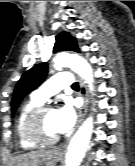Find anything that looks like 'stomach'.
<instances>
[{
	"mask_svg": "<svg viewBox=\"0 0 135 166\" xmlns=\"http://www.w3.org/2000/svg\"><path fill=\"white\" fill-rule=\"evenodd\" d=\"M60 159V153L56 150L51 151L50 154V159L48 161H50V164H46L45 161H39L37 164L33 165V166H53L52 164L56 161H58ZM11 166H15V165H11Z\"/></svg>",
	"mask_w": 135,
	"mask_h": 166,
	"instance_id": "stomach-1",
	"label": "stomach"
}]
</instances>
